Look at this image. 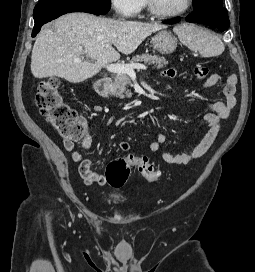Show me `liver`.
I'll return each mask as SVG.
<instances>
[{
  "label": "liver",
  "mask_w": 255,
  "mask_h": 272,
  "mask_svg": "<svg viewBox=\"0 0 255 272\" xmlns=\"http://www.w3.org/2000/svg\"><path fill=\"white\" fill-rule=\"evenodd\" d=\"M164 28L165 25L157 23L69 13L56 19L52 29L44 28L38 34L32 50L31 72L39 79L56 76L80 83L118 60L119 52L133 53L149 35ZM83 55L87 60L76 62Z\"/></svg>",
  "instance_id": "6515ba94"
}]
</instances>
